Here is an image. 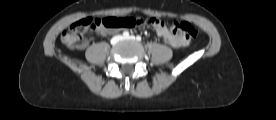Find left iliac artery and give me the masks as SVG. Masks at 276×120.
<instances>
[{
	"label": "left iliac artery",
	"mask_w": 276,
	"mask_h": 120,
	"mask_svg": "<svg viewBox=\"0 0 276 120\" xmlns=\"http://www.w3.org/2000/svg\"><path fill=\"white\" fill-rule=\"evenodd\" d=\"M136 39H137V41H141V36L138 35V36L136 37Z\"/></svg>",
	"instance_id": "left-iliac-artery-1"
}]
</instances>
